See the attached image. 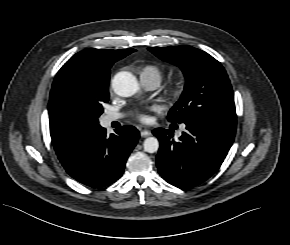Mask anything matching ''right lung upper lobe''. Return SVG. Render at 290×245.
<instances>
[{
  "instance_id": "obj_1",
  "label": "right lung upper lobe",
  "mask_w": 290,
  "mask_h": 245,
  "mask_svg": "<svg viewBox=\"0 0 290 245\" xmlns=\"http://www.w3.org/2000/svg\"><path fill=\"white\" fill-rule=\"evenodd\" d=\"M134 51L132 48L120 50L89 48L75 54L58 71L48 105L50 135L56 153L97 127L70 105L62 95L60 84L66 73L75 68L103 69L112 66L116 61Z\"/></svg>"
}]
</instances>
